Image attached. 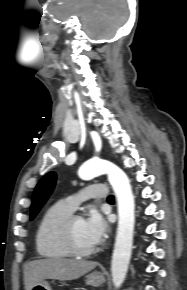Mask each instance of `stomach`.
Returning a JSON list of instances; mask_svg holds the SVG:
<instances>
[{
  "mask_svg": "<svg viewBox=\"0 0 187 290\" xmlns=\"http://www.w3.org/2000/svg\"><path fill=\"white\" fill-rule=\"evenodd\" d=\"M105 282V277L99 272H92L86 276V284L98 287ZM31 290H51L47 281H41L33 286Z\"/></svg>",
  "mask_w": 187,
  "mask_h": 290,
  "instance_id": "obj_1",
  "label": "stomach"
}]
</instances>
